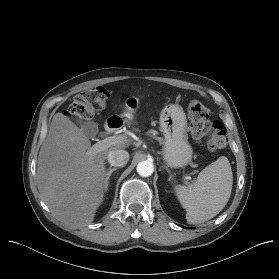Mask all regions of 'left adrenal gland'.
<instances>
[{
	"label": "left adrenal gland",
	"mask_w": 279,
	"mask_h": 279,
	"mask_svg": "<svg viewBox=\"0 0 279 279\" xmlns=\"http://www.w3.org/2000/svg\"><path fill=\"white\" fill-rule=\"evenodd\" d=\"M171 179H172V174H170L168 180L171 181Z\"/></svg>",
	"instance_id": "1"
}]
</instances>
